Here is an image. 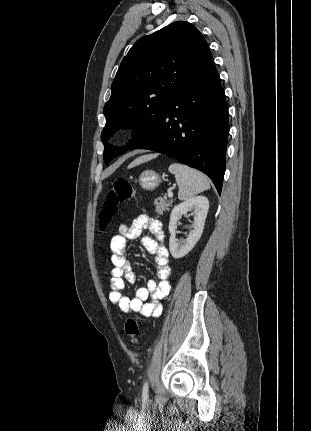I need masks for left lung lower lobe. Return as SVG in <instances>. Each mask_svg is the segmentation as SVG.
Returning a JSON list of instances; mask_svg holds the SVG:
<instances>
[{
    "label": "left lung lower lobe",
    "instance_id": "0a47b994",
    "mask_svg": "<svg viewBox=\"0 0 311 431\" xmlns=\"http://www.w3.org/2000/svg\"><path fill=\"white\" fill-rule=\"evenodd\" d=\"M228 133L225 93L209 50L183 83L153 134L135 149L156 151L202 171L220 195Z\"/></svg>",
    "mask_w": 311,
    "mask_h": 431
}]
</instances>
